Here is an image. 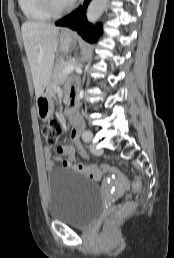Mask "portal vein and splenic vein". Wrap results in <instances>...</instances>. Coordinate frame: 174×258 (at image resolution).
Here are the masks:
<instances>
[{"label":"portal vein and splenic vein","mask_w":174,"mask_h":258,"mask_svg":"<svg viewBox=\"0 0 174 258\" xmlns=\"http://www.w3.org/2000/svg\"><path fill=\"white\" fill-rule=\"evenodd\" d=\"M74 68H75L74 65H72V64H71V65H68V66H66V67L62 70V73H64V74L71 73V72H73Z\"/></svg>","instance_id":"1"}]
</instances>
